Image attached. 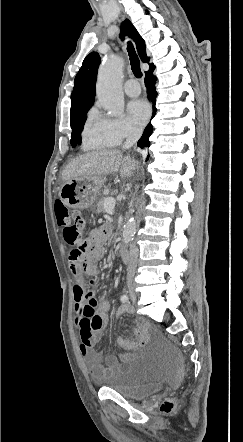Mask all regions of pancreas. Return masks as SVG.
<instances>
[{
  "mask_svg": "<svg viewBox=\"0 0 243 442\" xmlns=\"http://www.w3.org/2000/svg\"><path fill=\"white\" fill-rule=\"evenodd\" d=\"M111 199H114V198H112V197L102 198V199L97 203V209H96V212H97V213H104V212H105L104 203H105L107 200H111Z\"/></svg>",
  "mask_w": 243,
  "mask_h": 442,
  "instance_id": "cf45deb5",
  "label": "pancreas"
}]
</instances>
